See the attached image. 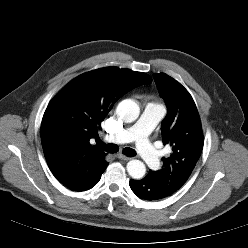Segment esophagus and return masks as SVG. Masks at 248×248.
<instances>
[{
	"instance_id": "esophagus-1",
	"label": "esophagus",
	"mask_w": 248,
	"mask_h": 248,
	"mask_svg": "<svg viewBox=\"0 0 248 248\" xmlns=\"http://www.w3.org/2000/svg\"><path fill=\"white\" fill-rule=\"evenodd\" d=\"M117 158H119V159H121V160H125V161H128V160L131 159L130 157H127V156H125V155L122 154V153L117 154Z\"/></svg>"
}]
</instances>
